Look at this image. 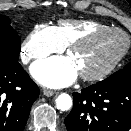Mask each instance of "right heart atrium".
Returning <instances> with one entry per match:
<instances>
[{
	"label": "right heart atrium",
	"instance_id": "obj_1",
	"mask_svg": "<svg viewBox=\"0 0 131 131\" xmlns=\"http://www.w3.org/2000/svg\"><path fill=\"white\" fill-rule=\"evenodd\" d=\"M63 49L64 46L58 40L53 27L41 24L35 26L26 37L21 47V57L24 62L29 63Z\"/></svg>",
	"mask_w": 131,
	"mask_h": 131
}]
</instances>
